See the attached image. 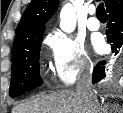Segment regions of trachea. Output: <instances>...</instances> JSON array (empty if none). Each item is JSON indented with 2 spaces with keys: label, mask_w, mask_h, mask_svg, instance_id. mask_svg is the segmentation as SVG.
Returning <instances> with one entry per match:
<instances>
[{
  "label": "trachea",
  "mask_w": 123,
  "mask_h": 113,
  "mask_svg": "<svg viewBox=\"0 0 123 113\" xmlns=\"http://www.w3.org/2000/svg\"><path fill=\"white\" fill-rule=\"evenodd\" d=\"M96 16L97 18H106L108 17L107 16V13L105 11V8H104V4L103 3H100L96 9Z\"/></svg>",
  "instance_id": "trachea-1"
}]
</instances>
